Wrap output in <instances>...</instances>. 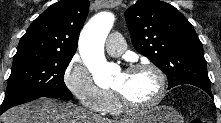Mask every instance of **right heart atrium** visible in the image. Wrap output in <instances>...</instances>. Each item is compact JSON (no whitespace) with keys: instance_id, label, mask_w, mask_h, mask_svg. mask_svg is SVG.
<instances>
[{"instance_id":"right-heart-atrium-1","label":"right heart atrium","mask_w":221,"mask_h":123,"mask_svg":"<svg viewBox=\"0 0 221 123\" xmlns=\"http://www.w3.org/2000/svg\"><path fill=\"white\" fill-rule=\"evenodd\" d=\"M64 82L84 107L99 113L105 112L110 91L95 84L89 70L79 58L74 57L68 63L64 71Z\"/></svg>"}]
</instances>
